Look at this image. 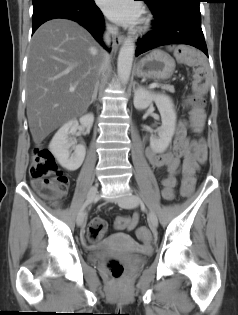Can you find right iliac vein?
<instances>
[{"mask_svg": "<svg viewBox=\"0 0 238 315\" xmlns=\"http://www.w3.org/2000/svg\"><path fill=\"white\" fill-rule=\"evenodd\" d=\"M98 196V189L97 186H92L88 193H87V201L92 202L94 201ZM85 221V210L80 211V213L77 216V225L81 226Z\"/></svg>", "mask_w": 238, "mask_h": 315, "instance_id": "right-iliac-vein-1", "label": "right iliac vein"}]
</instances>
